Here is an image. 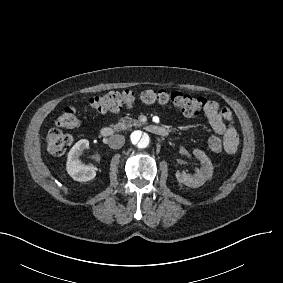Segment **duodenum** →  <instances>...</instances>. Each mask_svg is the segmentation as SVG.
<instances>
[{
  "mask_svg": "<svg viewBox=\"0 0 283 283\" xmlns=\"http://www.w3.org/2000/svg\"><path fill=\"white\" fill-rule=\"evenodd\" d=\"M145 130L153 135L156 136H167L169 131L161 126L158 125H147L145 126ZM116 130L112 126H104L100 129V135L104 138H109L115 134Z\"/></svg>",
  "mask_w": 283,
  "mask_h": 283,
  "instance_id": "1",
  "label": "duodenum"
}]
</instances>
